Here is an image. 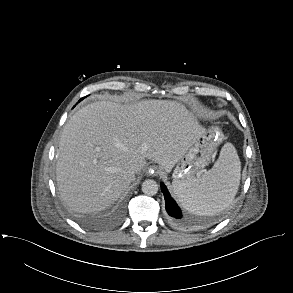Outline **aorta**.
I'll list each match as a JSON object with an SVG mask.
<instances>
[{
    "mask_svg": "<svg viewBox=\"0 0 293 293\" xmlns=\"http://www.w3.org/2000/svg\"><path fill=\"white\" fill-rule=\"evenodd\" d=\"M142 192L145 195L153 196L158 192V184L155 180L147 179L142 183Z\"/></svg>",
    "mask_w": 293,
    "mask_h": 293,
    "instance_id": "1",
    "label": "aorta"
}]
</instances>
